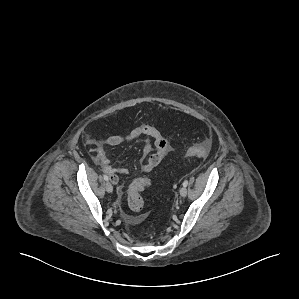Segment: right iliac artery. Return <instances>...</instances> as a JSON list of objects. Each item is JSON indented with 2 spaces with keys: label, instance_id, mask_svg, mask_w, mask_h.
Instances as JSON below:
<instances>
[{
  "label": "right iliac artery",
  "instance_id": "right-iliac-artery-1",
  "mask_svg": "<svg viewBox=\"0 0 299 299\" xmlns=\"http://www.w3.org/2000/svg\"><path fill=\"white\" fill-rule=\"evenodd\" d=\"M103 178H104V180H106V181L109 180V177H108L106 174L103 175Z\"/></svg>",
  "mask_w": 299,
  "mask_h": 299
}]
</instances>
